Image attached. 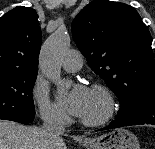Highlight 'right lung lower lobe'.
Instances as JSON below:
<instances>
[{
  "instance_id": "right-lung-lower-lobe-1",
  "label": "right lung lower lobe",
  "mask_w": 155,
  "mask_h": 149,
  "mask_svg": "<svg viewBox=\"0 0 155 149\" xmlns=\"http://www.w3.org/2000/svg\"><path fill=\"white\" fill-rule=\"evenodd\" d=\"M33 118H34V117H33ZM33 118H32V119H30V120H28V121H26V122H24L23 124L28 125L29 123H31V122L33 121Z\"/></svg>"
}]
</instances>
